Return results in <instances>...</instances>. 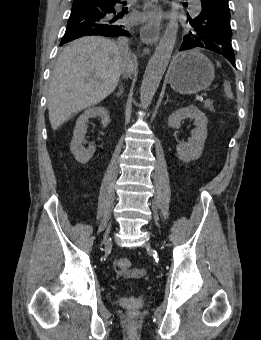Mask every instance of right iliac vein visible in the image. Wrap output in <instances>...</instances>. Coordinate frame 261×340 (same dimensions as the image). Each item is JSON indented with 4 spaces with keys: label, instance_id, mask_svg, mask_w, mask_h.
<instances>
[{
    "label": "right iliac vein",
    "instance_id": "right-iliac-vein-1",
    "mask_svg": "<svg viewBox=\"0 0 261 340\" xmlns=\"http://www.w3.org/2000/svg\"><path fill=\"white\" fill-rule=\"evenodd\" d=\"M109 229H110V227L108 228V230L106 231V234L104 236V240L108 243L111 242V238L109 236Z\"/></svg>",
    "mask_w": 261,
    "mask_h": 340
}]
</instances>
